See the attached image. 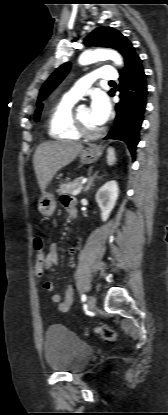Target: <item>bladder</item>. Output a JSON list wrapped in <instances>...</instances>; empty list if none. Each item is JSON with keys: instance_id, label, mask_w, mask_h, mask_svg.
Here are the masks:
<instances>
[{"instance_id": "31cf9c89", "label": "bladder", "mask_w": 168, "mask_h": 415, "mask_svg": "<svg viewBox=\"0 0 168 415\" xmlns=\"http://www.w3.org/2000/svg\"><path fill=\"white\" fill-rule=\"evenodd\" d=\"M93 349L65 326H50L44 337V358L57 372L77 373L91 360Z\"/></svg>"}]
</instances>
